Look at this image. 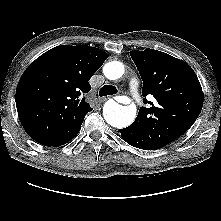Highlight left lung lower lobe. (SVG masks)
<instances>
[{"mask_svg": "<svg viewBox=\"0 0 221 221\" xmlns=\"http://www.w3.org/2000/svg\"><path fill=\"white\" fill-rule=\"evenodd\" d=\"M118 132L120 133L122 139L126 141L128 144L134 146V135L133 130L129 127H126L124 129H119ZM135 147V146H134Z\"/></svg>", "mask_w": 221, "mask_h": 221, "instance_id": "1", "label": "left lung lower lobe"}]
</instances>
